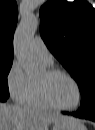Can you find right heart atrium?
Returning a JSON list of instances; mask_svg holds the SVG:
<instances>
[{
    "instance_id": "right-heart-atrium-1",
    "label": "right heart atrium",
    "mask_w": 95,
    "mask_h": 130,
    "mask_svg": "<svg viewBox=\"0 0 95 130\" xmlns=\"http://www.w3.org/2000/svg\"><path fill=\"white\" fill-rule=\"evenodd\" d=\"M33 81L26 75L22 66L18 62L12 63L7 76L6 86L7 90L13 100L20 104H25Z\"/></svg>"
}]
</instances>
